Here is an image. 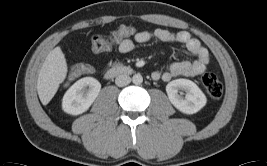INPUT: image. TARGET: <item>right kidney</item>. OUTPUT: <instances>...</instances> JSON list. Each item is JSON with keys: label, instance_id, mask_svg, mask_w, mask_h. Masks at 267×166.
Masks as SVG:
<instances>
[{"label": "right kidney", "instance_id": "1", "mask_svg": "<svg viewBox=\"0 0 267 166\" xmlns=\"http://www.w3.org/2000/svg\"><path fill=\"white\" fill-rule=\"evenodd\" d=\"M101 84L93 77H84L76 81L65 93L63 110L71 115H79L88 110L97 98Z\"/></svg>", "mask_w": 267, "mask_h": 166}]
</instances>
